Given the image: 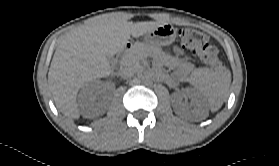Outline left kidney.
Returning a JSON list of instances; mask_svg holds the SVG:
<instances>
[{"mask_svg":"<svg viewBox=\"0 0 279 166\" xmlns=\"http://www.w3.org/2000/svg\"><path fill=\"white\" fill-rule=\"evenodd\" d=\"M174 109L176 112H184L189 106L195 108L202 107V96L197 90L186 89L184 92H178L173 94ZM190 99V105L183 102V99Z\"/></svg>","mask_w":279,"mask_h":166,"instance_id":"5707ae66","label":"left kidney"}]
</instances>
